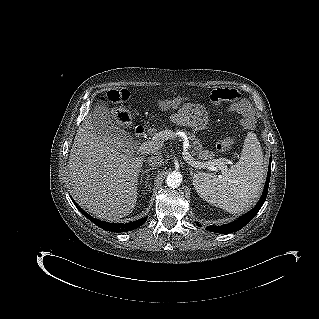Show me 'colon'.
<instances>
[{
    "mask_svg": "<svg viewBox=\"0 0 319 319\" xmlns=\"http://www.w3.org/2000/svg\"><path fill=\"white\" fill-rule=\"evenodd\" d=\"M127 98H128V93L126 91L112 90L107 93L105 100L112 103H117V102L125 101ZM209 100L212 103L225 102V103L234 104L240 100V95L234 89L219 88V89L213 90L210 93ZM181 102H182L181 98L161 99V100H158V105L161 107H170V106H175ZM238 110L242 114L246 115L249 112V107L247 105H243L238 107ZM115 119L117 123H119L120 125L127 126L131 121V116L127 110L120 108L115 113ZM231 145H232L231 140L229 139L222 140L217 144V149L220 152H225L231 147Z\"/></svg>",
    "mask_w": 319,
    "mask_h": 319,
    "instance_id": "1",
    "label": "colon"
}]
</instances>
